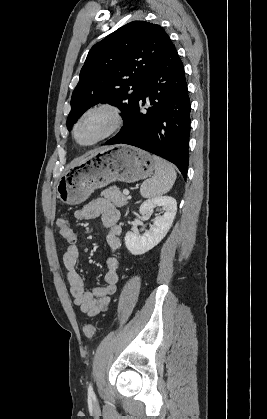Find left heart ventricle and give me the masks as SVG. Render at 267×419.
<instances>
[{"label":"left heart ventricle","mask_w":267,"mask_h":419,"mask_svg":"<svg viewBox=\"0 0 267 419\" xmlns=\"http://www.w3.org/2000/svg\"><path fill=\"white\" fill-rule=\"evenodd\" d=\"M110 119L104 112L89 115L80 125L78 138L82 143H89L99 137L108 128Z\"/></svg>","instance_id":"left-heart-ventricle-1"}]
</instances>
